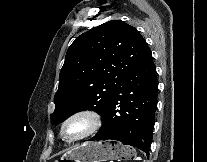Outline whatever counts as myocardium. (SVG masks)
Here are the masks:
<instances>
[{"mask_svg": "<svg viewBox=\"0 0 207 162\" xmlns=\"http://www.w3.org/2000/svg\"><path fill=\"white\" fill-rule=\"evenodd\" d=\"M77 119H83L87 121L88 126L84 132H82L80 135L73 137V138H67L65 136V129L66 127L72 123L73 121ZM102 116L98 111L92 108H84L81 110H78L68 116L62 123L61 128H60V137L62 138L63 141L66 142H76L80 141L82 139H85L95 132H97L100 127L102 126Z\"/></svg>", "mask_w": 207, "mask_h": 162, "instance_id": "1", "label": "myocardium"}]
</instances>
